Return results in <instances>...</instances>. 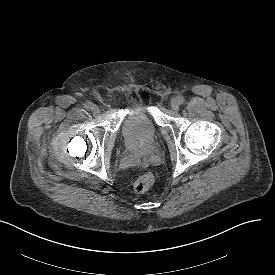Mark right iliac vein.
Instances as JSON below:
<instances>
[{
	"instance_id": "63e3f726",
	"label": "right iliac vein",
	"mask_w": 275,
	"mask_h": 275,
	"mask_svg": "<svg viewBox=\"0 0 275 275\" xmlns=\"http://www.w3.org/2000/svg\"><path fill=\"white\" fill-rule=\"evenodd\" d=\"M92 113L94 114V115H97V114H99V112H100V110H99V107L98 106H96V105H92Z\"/></svg>"
}]
</instances>
